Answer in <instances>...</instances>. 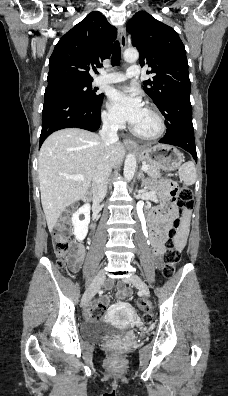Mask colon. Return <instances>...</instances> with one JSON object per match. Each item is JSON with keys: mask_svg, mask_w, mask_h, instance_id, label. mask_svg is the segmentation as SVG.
<instances>
[{"mask_svg": "<svg viewBox=\"0 0 228 396\" xmlns=\"http://www.w3.org/2000/svg\"><path fill=\"white\" fill-rule=\"evenodd\" d=\"M169 193L171 197H177L178 206L180 208L179 217L174 222V229L169 232V237L166 241V250L163 253V274L165 277H171L175 271V267L180 260V250L176 244L175 238L177 230L182 224V216L186 210H189L193 205L192 191L185 185H178L176 182L167 181ZM53 249L58 258L57 265L60 268L72 261L74 258L70 252L69 239V218L67 216L61 217L53 226ZM138 308L144 312L143 320L145 323L152 321V316L147 312V304L144 300L137 302ZM105 309L101 304H94L91 308V316L94 319H99L104 315Z\"/></svg>", "mask_w": 228, "mask_h": 396, "instance_id": "5ec220e1", "label": "colon"}]
</instances>
